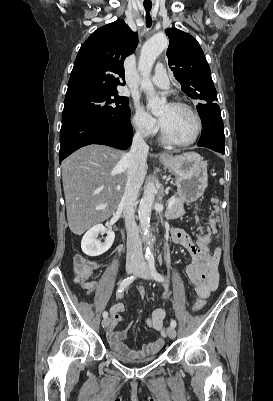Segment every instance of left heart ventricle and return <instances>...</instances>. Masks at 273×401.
<instances>
[{"label":"left heart ventricle","instance_id":"b2bd125f","mask_svg":"<svg viewBox=\"0 0 273 401\" xmlns=\"http://www.w3.org/2000/svg\"><path fill=\"white\" fill-rule=\"evenodd\" d=\"M159 115L163 127L173 138L186 141L196 134V121L186 110L168 105L162 108Z\"/></svg>","mask_w":273,"mask_h":401}]
</instances>
